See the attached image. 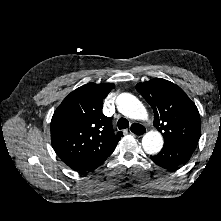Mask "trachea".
I'll list each match as a JSON object with an SVG mask.
<instances>
[{"label":"trachea","instance_id":"3493384b","mask_svg":"<svg viewBox=\"0 0 221 221\" xmlns=\"http://www.w3.org/2000/svg\"><path fill=\"white\" fill-rule=\"evenodd\" d=\"M117 125L119 129H125L129 127V121L126 118H120Z\"/></svg>","mask_w":221,"mask_h":221}]
</instances>
